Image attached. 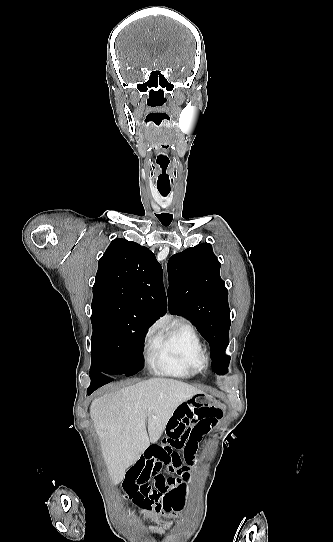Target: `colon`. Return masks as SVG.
I'll return each mask as SVG.
<instances>
[{
  "label": "colon",
  "instance_id": "5ec220e1",
  "mask_svg": "<svg viewBox=\"0 0 333 542\" xmlns=\"http://www.w3.org/2000/svg\"><path fill=\"white\" fill-rule=\"evenodd\" d=\"M185 473V475H184ZM191 473V468L190 467H185L182 471H181V475H184L186 478L189 476L188 474ZM187 485L185 483H182V486L181 487H175L174 489H168L166 491V494L163 498V501L165 503V508L170 510V512H173V506L174 504L176 503V498H177V495L178 494H181V496L184 498V499H187L189 496H190V493L187 491ZM123 493L125 496L128 497V494H127V489H123ZM186 507V504H179L177 508H181V507ZM178 514L181 512L179 509L176 511Z\"/></svg>",
  "mask_w": 333,
  "mask_h": 542
}]
</instances>
